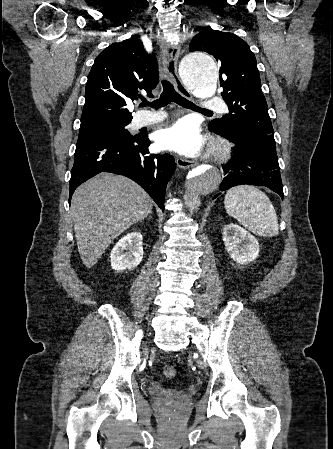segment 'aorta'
Returning a JSON list of instances; mask_svg holds the SVG:
<instances>
[{
	"instance_id": "obj_1",
	"label": "aorta",
	"mask_w": 333,
	"mask_h": 449,
	"mask_svg": "<svg viewBox=\"0 0 333 449\" xmlns=\"http://www.w3.org/2000/svg\"><path fill=\"white\" fill-rule=\"evenodd\" d=\"M180 77L183 84L192 92L210 96L215 92L218 81V69L214 59L206 52H192L180 63ZM222 181L218 167L198 166L192 169L184 179L183 195L186 210L197 212L201 197L215 192Z\"/></svg>"
}]
</instances>
